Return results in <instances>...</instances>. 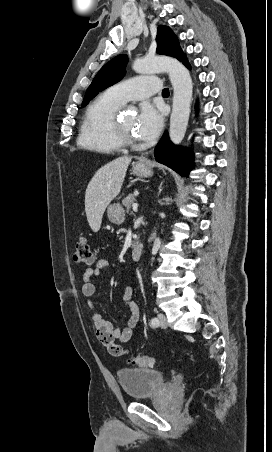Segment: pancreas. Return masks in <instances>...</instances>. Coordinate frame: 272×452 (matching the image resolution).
<instances>
[{
	"instance_id": "cf45deb5",
	"label": "pancreas",
	"mask_w": 272,
	"mask_h": 452,
	"mask_svg": "<svg viewBox=\"0 0 272 452\" xmlns=\"http://www.w3.org/2000/svg\"><path fill=\"white\" fill-rule=\"evenodd\" d=\"M135 196L133 194H129L126 198L122 200V205L126 208V212L129 213L131 207L135 202Z\"/></svg>"
}]
</instances>
